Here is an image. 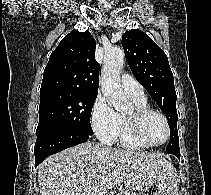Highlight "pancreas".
I'll return each mask as SVG.
<instances>
[{
  "label": "pancreas",
  "mask_w": 211,
  "mask_h": 195,
  "mask_svg": "<svg viewBox=\"0 0 211 195\" xmlns=\"http://www.w3.org/2000/svg\"><path fill=\"white\" fill-rule=\"evenodd\" d=\"M128 195H136L135 193H131V194H128Z\"/></svg>",
  "instance_id": "pancreas-1"
}]
</instances>
